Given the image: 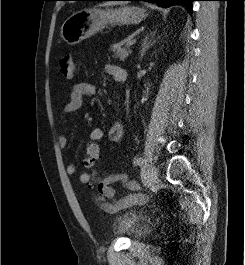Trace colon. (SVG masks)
Returning <instances> with one entry per match:
<instances>
[{
  "instance_id": "obj_1",
  "label": "colon",
  "mask_w": 245,
  "mask_h": 265,
  "mask_svg": "<svg viewBox=\"0 0 245 265\" xmlns=\"http://www.w3.org/2000/svg\"><path fill=\"white\" fill-rule=\"evenodd\" d=\"M59 70L64 78L71 79L76 70L75 62L71 55L63 54L59 59ZM99 157V145L89 142L85 148L83 165L91 168L95 165Z\"/></svg>"
}]
</instances>
